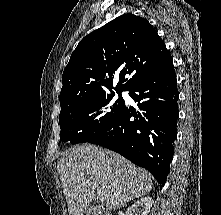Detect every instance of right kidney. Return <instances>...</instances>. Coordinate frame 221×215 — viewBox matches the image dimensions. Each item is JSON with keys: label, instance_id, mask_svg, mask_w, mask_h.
<instances>
[{"label": "right kidney", "instance_id": "right-kidney-1", "mask_svg": "<svg viewBox=\"0 0 221 215\" xmlns=\"http://www.w3.org/2000/svg\"><path fill=\"white\" fill-rule=\"evenodd\" d=\"M153 203L154 200L151 197L141 198L127 209L126 215H147Z\"/></svg>", "mask_w": 221, "mask_h": 215}]
</instances>
